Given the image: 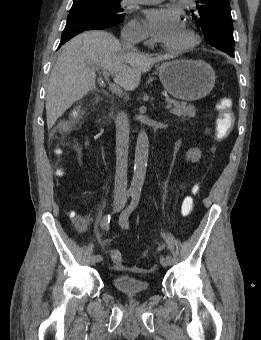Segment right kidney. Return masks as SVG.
Returning <instances> with one entry per match:
<instances>
[{"label": "right kidney", "instance_id": "1", "mask_svg": "<svg viewBox=\"0 0 261 340\" xmlns=\"http://www.w3.org/2000/svg\"><path fill=\"white\" fill-rule=\"evenodd\" d=\"M89 144V142L87 141V142H85V146H87Z\"/></svg>", "mask_w": 261, "mask_h": 340}]
</instances>
